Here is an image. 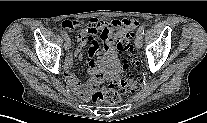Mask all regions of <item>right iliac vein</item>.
Returning a JSON list of instances; mask_svg holds the SVG:
<instances>
[{"mask_svg":"<svg viewBox=\"0 0 207 123\" xmlns=\"http://www.w3.org/2000/svg\"><path fill=\"white\" fill-rule=\"evenodd\" d=\"M65 48L66 49H70V47H71V41H70V38L67 36V37H65Z\"/></svg>","mask_w":207,"mask_h":123,"instance_id":"63e3f726","label":"right iliac vein"}]
</instances>
